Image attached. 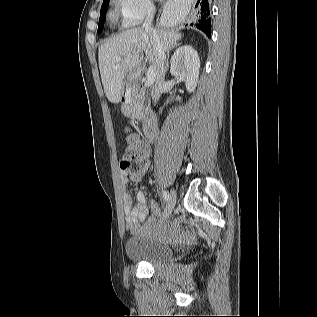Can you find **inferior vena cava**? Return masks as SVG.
<instances>
[{
  "instance_id": "inferior-vena-cava-1",
  "label": "inferior vena cava",
  "mask_w": 317,
  "mask_h": 317,
  "mask_svg": "<svg viewBox=\"0 0 317 317\" xmlns=\"http://www.w3.org/2000/svg\"><path fill=\"white\" fill-rule=\"evenodd\" d=\"M156 9L153 5H150L147 9V17L143 23L144 30L151 36L157 53V69H156V80L155 86L152 89V99L154 102L158 101L163 90L165 69H166V56L165 51L160 43L158 34L152 28V21L155 15Z\"/></svg>"
}]
</instances>
